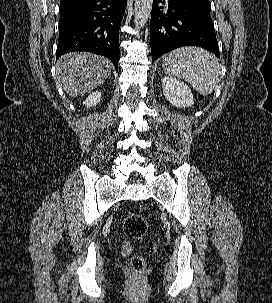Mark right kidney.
I'll list each match as a JSON object with an SVG mask.
<instances>
[{"instance_id": "obj_1", "label": "right kidney", "mask_w": 272, "mask_h": 303, "mask_svg": "<svg viewBox=\"0 0 272 303\" xmlns=\"http://www.w3.org/2000/svg\"><path fill=\"white\" fill-rule=\"evenodd\" d=\"M101 100V93L99 91H94L88 95L86 100L83 102L87 108L96 106Z\"/></svg>"}]
</instances>
